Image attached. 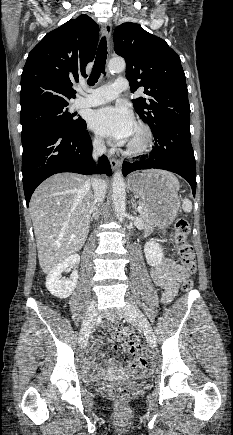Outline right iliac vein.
<instances>
[{"mask_svg":"<svg viewBox=\"0 0 233 435\" xmlns=\"http://www.w3.org/2000/svg\"><path fill=\"white\" fill-rule=\"evenodd\" d=\"M97 317V305L96 303H92L88 309L86 318L81 327L80 335H79V344L81 348H86L88 344V337L93 329Z\"/></svg>","mask_w":233,"mask_h":435,"instance_id":"63e3f726","label":"right iliac vein"}]
</instances>
